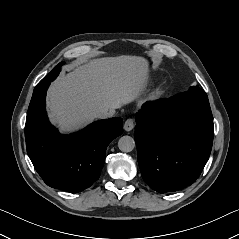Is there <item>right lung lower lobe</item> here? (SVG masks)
Masks as SVG:
<instances>
[{
	"label": "right lung lower lobe",
	"mask_w": 239,
	"mask_h": 239,
	"mask_svg": "<svg viewBox=\"0 0 239 239\" xmlns=\"http://www.w3.org/2000/svg\"><path fill=\"white\" fill-rule=\"evenodd\" d=\"M50 82L33 92L25 124L27 153L48 186L80 192L100 177L107 146L123 132L122 119L100 120L79 132L60 134L45 110Z\"/></svg>",
	"instance_id": "obj_1"
}]
</instances>
